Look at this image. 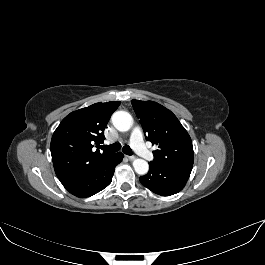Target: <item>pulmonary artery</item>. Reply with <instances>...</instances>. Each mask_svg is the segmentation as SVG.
<instances>
[{
	"instance_id": "obj_1",
	"label": "pulmonary artery",
	"mask_w": 265,
	"mask_h": 265,
	"mask_svg": "<svg viewBox=\"0 0 265 265\" xmlns=\"http://www.w3.org/2000/svg\"><path fill=\"white\" fill-rule=\"evenodd\" d=\"M130 144L134 151L146 160L153 159V153L145 146L143 141V132L139 126L132 129L130 135Z\"/></svg>"
}]
</instances>
